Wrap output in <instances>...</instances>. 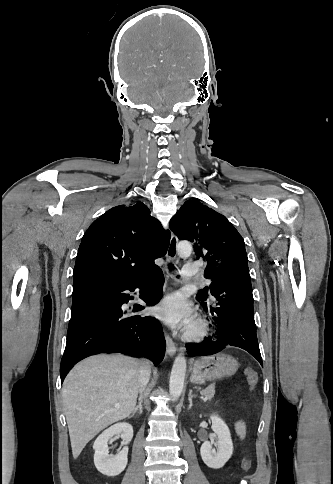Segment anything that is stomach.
Returning <instances> with one entry per match:
<instances>
[{
	"label": "stomach",
	"instance_id": "1",
	"mask_svg": "<svg viewBox=\"0 0 333 484\" xmlns=\"http://www.w3.org/2000/svg\"><path fill=\"white\" fill-rule=\"evenodd\" d=\"M238 367L236 359L225 353L204 356L192 362L190 380L194 384H204L207 381L231 376Z\"/></svg>",
	"mask_w": 333,
	"mask_h": 484
}]
</instances>
